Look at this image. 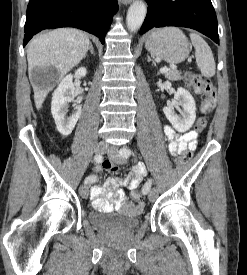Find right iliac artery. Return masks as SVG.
<instances>
[{"instance_id": "82829eb1", "label": "right iliac artery", "mask_w": 247, "mask_h": 275, "mask_svg": "<svg viewBox=\"0 0 247 275\" xmlns=\"http://www.w3.org/2000/svg\"><path fill=\"white\" fill-rule=\"evenodd\" d=\"M102 160H103L102 155L96 154V155L94 156V161H95L96 163H101ZM96 181H97V177H96L95 175H90V176L86 177V179H85V183H87V184H91V183H94V182H96Z\"/></svg>"}]
</instances>
